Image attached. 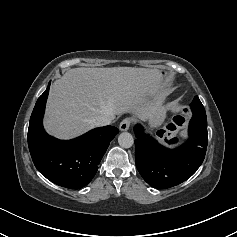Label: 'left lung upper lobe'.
Returning <instances> with one entry per match:
<instances>
[{
  "label": "left lung upper lobe",
  "instance_id": "obj_1",
  "mask_svg": "<svg viewBox=\"0 0 237 237\" xmlns=\"http://www.w3.org/2000/svg\"><path fill=\"white\" fill-rule=\"evenodd\" d=\"M193 116L206 119V112L198 96L194 97L191 103Z\"/></svg>",
  "mask_w": 237,
  "mask_h": 237
}]
</instances>
